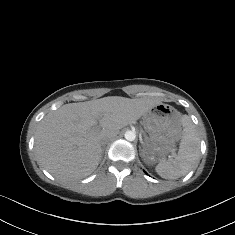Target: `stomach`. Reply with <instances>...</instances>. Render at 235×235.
I'll use <instances>...</instances> for the list:
<instances>
[{
  "label": "stomach",
  "mask_w": 235,
  "mask_h": 235,
  "mask_svg": "<svg viewBox=\"0 0 235 235\" xmlns=\"http://www.w3.org/2000/svg\"><path fill=\"white\" fill-rule=\"evenodd\" d=\"M142 125L148 133L142 157L152 165L175 151V143L182 137V115L173 106L158 103L142 116Z\"/></svg>",
  "instance_id": "1"
}]
</instances>
